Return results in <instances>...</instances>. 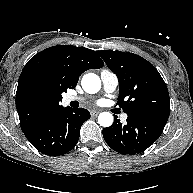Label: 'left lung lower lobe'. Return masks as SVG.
Returning <instances> with one entry per match:
<instances>
[{"label": "left lung lower lobe", "instance_id": "left-lung-lower-lobe-1", "mask_svg": "<svg viewBox=\"0 0 193 193\" xmlns=\"http://www.w3.org/2000/svg\"><path fill=\"white\" fill-rule=\"evenodd\" d=\"M170 112H157L120 120L103 129V136L110 148L121 154L134 155L151 146L162 134Z\"/></svg>", "mask_w": 193, "mask_h": 193}]
</instances>
